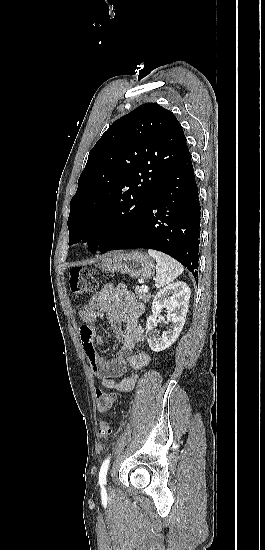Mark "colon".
I'll return each instance as SVG.
<instances>
[{
    "mask_svg": "<svg viewBox=\"0 0 265 550\" xmlns=\"http://www.w3.org/2000/svg\"><path fill=\"white\" fill-rule=\"evenodd\" d=\"M69 285L72 294L81 296L95 292L98 288V280L89 269L74 268L69 274ZM116 400L117 395L115 393H106L100 389L96 390V402L98 408L103 413H109L112 410ZM111 432V428L106 422L100 423V437L107 439L111 436Z\"/></svg>",
    "mask_w": 265,
    "mask_h": 550,
    "instance_id": "colon-1",
    "label": "colon"
}]
</instances>
